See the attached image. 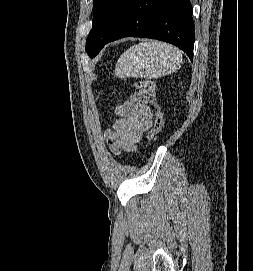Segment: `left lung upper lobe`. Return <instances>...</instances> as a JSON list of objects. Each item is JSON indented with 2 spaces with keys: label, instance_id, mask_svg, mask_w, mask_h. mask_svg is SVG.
<instances>
[{
  "label": "left lung upper lobe",
  "instance_id": "left-lung-upper-lobe-1",
  "mask_svg": "<svg viewBox=\"0 0 253 271\" xmlns=\"http://www.w3.org/2000/svg\"><path fill=\"white\" fill-rule=\"evenodd\" d=\"M131 0H94L93 26L86 41V52L95 57L130 7Z\"/></svg>",
  "mask_w": 253,
  "mask_h": 271
}]
</instances>
